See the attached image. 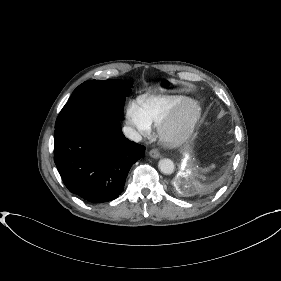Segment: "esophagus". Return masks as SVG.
<instances>
[{
    "label": "esophagus",
    "mask_w": 281,
    "mask_h": 281,
    "mask_svg": "<svg viewBox=\"0 0 281 281\" xmlns=\"http://www.w3.org/2000/svg\"><path fill=\"white\" fill-rule=\"evenodd\" d=\"M149 155L152 158H159L160 157V152H159L158 149H152V150H150Z\"/></svg>",
    "instance_id": "1"
}]
</instances>
